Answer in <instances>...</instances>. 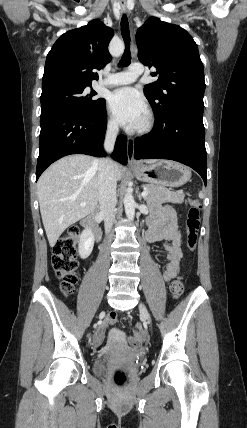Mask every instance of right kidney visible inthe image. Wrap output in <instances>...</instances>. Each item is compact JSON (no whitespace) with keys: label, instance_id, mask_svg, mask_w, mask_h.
I'll list each match as a JSON object with an SVG mask.
<instances>
[{"label":"right kidney","instance_id":"ca27d5eb","mask_svg":"<svg viewBox=\"0 0 247 428\" xmlns=\"http://www.w3.org/2000/svg\"><path fill=\"white\" fill-rule=\"evenodd\" d=\"M94 247V236L89 229H85L79 236V255L86 259L91 254Z\"/></svg>","mask_w":247,"mask_h":428}]
</instances>
